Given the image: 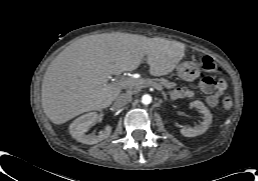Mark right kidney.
<instances>
[{
    "instance_id": "right-kidney-1",
    "label": "right kidney",
    "mask_w": 258,
    "mask_h": 181,
    "mask_svg": "<svg viewBox=\"0 0 258 181\" xmlns=\"http://www.w3.org/2000/svg\"><path fill=\"white\" fill-rule=\"evenodd\" d=\"M96 120V112H90L78 117L70 124L69 132L71 136L78 142L88 145L96 144L108 138L112 131V127L109 125L105 126V128L102 131H100L98 135L93 133L88 135L85 134L88 128L91 125H93L96 122Z\"/></svg>"
}]
</instances>
